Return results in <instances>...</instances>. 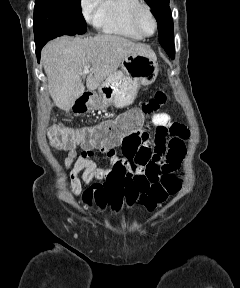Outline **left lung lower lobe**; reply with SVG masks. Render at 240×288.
Instances as JSON below:
<instances>
[{
    "instance_id": "obj_1",
    "label": "left lung lower lobe",
    "mask_w": 240,
    "mask_h": 288,
    "mask_svg": "<svg viewBox=\"0 0 240 288\" xmlns=\"http://www.w3.org/2000/svg\"><path fill=\"white\" fill-rule=\"evenodd\" d=\"M171 58H174L175 52L166 51Z\"/></svg>"
}]
</instances>
